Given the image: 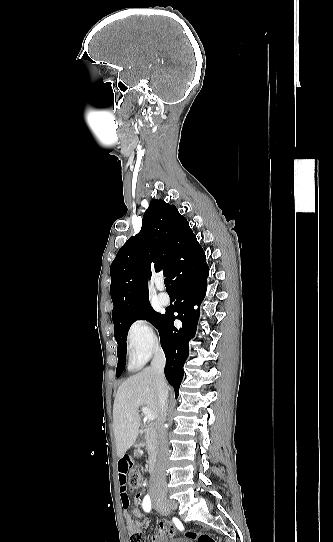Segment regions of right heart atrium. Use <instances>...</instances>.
I'll return each mask as SVG.
<instances>
[{
    "label": "right heart atrium",
    "instance_id": "right-heart-atrium-1",
    "mask_svg": "<svg viewBox=\"0 0 333 542\" xmlns=\"http://www.w3.org/2000/svg\"><path fill=\"white\" fill-rule=\"evenodd\" d=\"M128 342L131 349L148 358L157 350L159 337L152 323L140 319L131 326Z\"/></svg>",
    "mask_w": 333,
    "mask_h": 542
}]
</instances>
